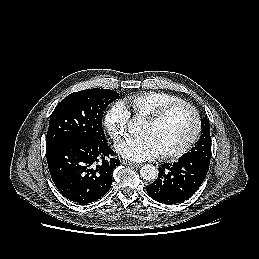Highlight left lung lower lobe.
Returning a JSON list of instances; mask_svg holds the SVG:
<instances>
[{"label":"left lung lower lobe","mask_w":259,"mask_h":259,"mask_svg":"<svg viewBox=\"0 0 259 259\" xmlns=\"http://www.w3.org/2000/svg\"><path fill=\"white\" fill-rule=\"evenodd\" d=\"M209 164L183 155L178 162L164 164L159 168L158 178L147 186V193L159 203H182L199 189L206 177Z\"/></svg>","instance_id":"1"}]
</instances>
